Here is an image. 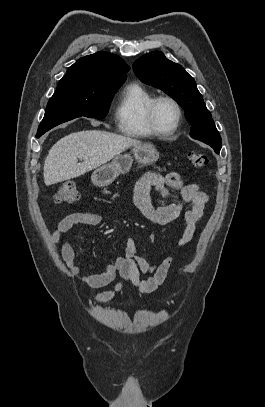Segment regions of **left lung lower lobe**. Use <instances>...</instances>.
Segmentation results:
<instances>
[{
	"instance_id": "1",
	"label": "left lung lower lobe",
	"mask_w": 265,
	"mask_h": 407,
	"mask_svg": "<svg viewBox=\"0 0 265 407\" xmlns=\"http://www.w3.org/2000/svg\"><path fill=\"white\" fill-rule=\"evenodd\" d=\"M209 146H211V147L214 149V151H215L216 153H219L220 148L215 147L214 145H209Z\"/></svg>"
}]
</instances>
